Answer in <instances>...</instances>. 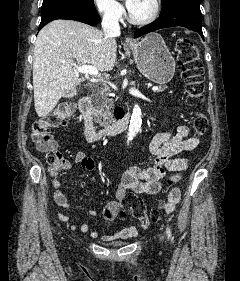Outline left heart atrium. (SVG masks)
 Returning <instances> with one entry per match:
<instances>
[{"label":"left heart atrium","instance_id":"39dd6f15","mask_svg":"<svg viewBox=\"0 0 240 281\" xmlns=\"http://www.w3.org/2000/svg\"><path fill=\"white\" fill-rule=\"evenodd\" d=\"M136 1H137V0H127V1H126L127 8H128L129 10H131V9L134 7Z\"/></svg>","mask_w":240,"mask_h":281}]
</instances>
